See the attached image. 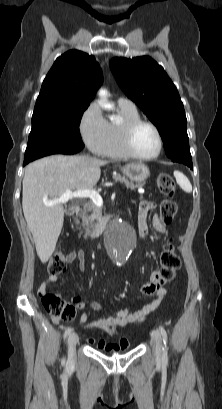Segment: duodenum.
Segmentation results:
<instances>
[{
  "label": "duodenum",
  "instance_id": "410a0bca",
  "mask_svg": "<svg viewBox=\"0 0 222 409\" xmlns=\"http://www.w3.org/2000/svg\"><path fill=\"white\" fill-rule=\"evenodd\" d=\"M70 211H71L72 214H76V213H78L80 211V206L76 205V206L72 207L70 209ZM115 216H119V214H116ZM108 222H109L108 218L100 220L93 228L92 237L96 238L99 235H101L103 233V231H104V229H105Z\"/></svg>",
  "mask_w": 222,
  "mask_h": 409
}]
</instances>
